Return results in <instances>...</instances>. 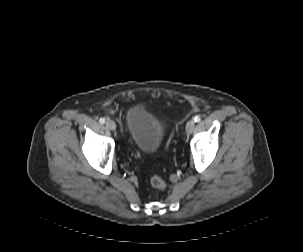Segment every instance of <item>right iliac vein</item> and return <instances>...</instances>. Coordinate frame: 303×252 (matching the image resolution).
I'll return each mask as SVG.
<instances>
[{"label":"right iliac vein","mask_w":303,"mask_h":252,"mask_svg":"<svg viewBox=\"0 0 303 252\" xmlns=\"http://www.w3.org/2000/svg\"><path fill=\"white\" fill-rule=\"evenodd\" d=\"M106 127L112 131L116 130V124L113 120H107Z\"/></svg>","instance_id":"right-iliac-vein-1"}]
</instances>
